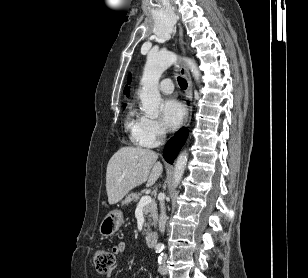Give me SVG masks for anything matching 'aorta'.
Segmentation results:
<instances>
[{
	"mask_svg": "<svg viewBox=\"0 0 308 278\" xmlns=\"http://www.w3.org/2000/svg\"><path fill=\"white\" fill-rule=\"evenodd\" d=\"M178 56L170 51H160L157 53H150L144 67L143 76L141 79L142 90L140 92V99L143 111L148 117L156 118L159 114V106L161 103V95L158 90V83L162 73L176 62ZM189 66L193 77L196 81L200 79V72L196 63L192 59H185ZM188 160V153L182 152L175 163L173 174V186L177 187L183 177L186 164ZM161 247L163 245H160Z\"/></svg>",
	"mask_w": 308,
	"mask_h": 278,
	"instance_id": "aorta-1",
	"label": "aorta"
}]
</instances>
